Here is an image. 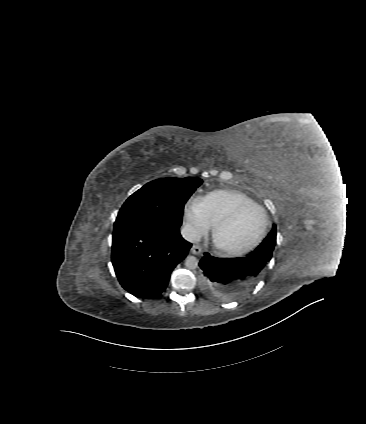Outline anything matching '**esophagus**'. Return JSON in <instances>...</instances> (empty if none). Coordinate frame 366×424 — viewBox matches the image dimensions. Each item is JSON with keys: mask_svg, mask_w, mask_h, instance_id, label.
<instances>
[{"mask_svg": "<svg viewBox=\"0 0 366 424\" xmlns=\"http://www.w3.org/2000/svg\"><path fill=\"white\" fill-rule=\"evenodd\" d=\"M190 251L195 255H200L202 253V248L197 245H193Z\"/></svg>", "mask_w": 366, "mask_h": 424, "instance_id": "obj_1", "label": "esophagus"}]
</instances>
